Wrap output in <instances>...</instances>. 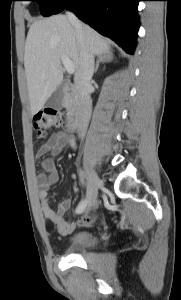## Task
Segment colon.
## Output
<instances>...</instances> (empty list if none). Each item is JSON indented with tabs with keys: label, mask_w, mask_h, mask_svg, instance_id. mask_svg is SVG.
<instances>
[{
	"label": "colon",
	"mask_w": 181,
	"mask_h": 300,
	"mask_svg": "<svg viewBox=\"0 0 181 300\" xmlns=\"http://www.w3.org/2000/svg\"><path fill=\"white\" fill-rule=\"evenodd\" d=\"M65 124L64 116L55 108H45L37 112L33 117V126L38 132L40 139H44L47 130L60 127Z\"/></svg>",
	"instance_id": "5ec220e1"
}]
</instances>
